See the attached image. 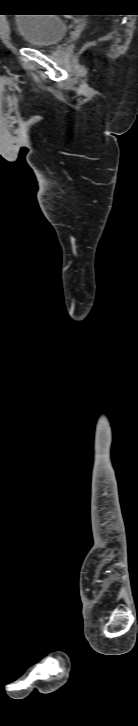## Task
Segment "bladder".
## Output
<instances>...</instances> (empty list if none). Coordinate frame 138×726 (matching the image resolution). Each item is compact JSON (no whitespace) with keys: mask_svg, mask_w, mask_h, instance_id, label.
Masks as SVG:
<instances>
[{"mask_svg":"<svg viewBox=\"0 0 138 726\" xmlns=\"http://www.w3.org/2000/svg\"><path fill=\"white\" fill-rule=\"evenodd\" d=\"M14 23L24 44L35 48L58 44L68 31L66 21L47 14H23Z\"/></svg>","mask_w":138,"mask_h":726,"instance_id":"31cf9c89","label":"bladder"}]
</instances>
